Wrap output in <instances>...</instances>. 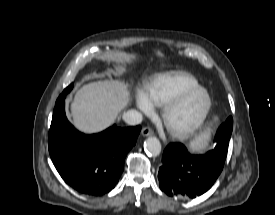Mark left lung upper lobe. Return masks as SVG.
<instances>
[{"label":"left lung upper lobe","mask_w":275,"mask_h":215,"mask_svg":"<svg viewBox=\"0 0 275 215\" xmlns=\"http://www.w3.org/2000/svg\"><path fill=\"white\" fill-rule=\"evenodd\" d=\"M233 128V119L229 117L225 123H223L214 138V142H216V146L213 150L208 151L207 153L214 158L225 162L227 156L228 149V140L229 138H225L224 133L227 131H232Z\"/></svg>","instance_id":"5c2ea615"}]
</instances>
